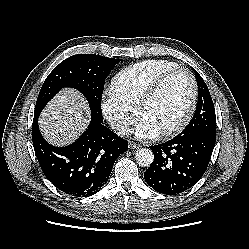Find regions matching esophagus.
Listing matches in <instances>:
<instances>
[{
    "label": "esophagus",
    "mask_w": 249,
    "mask_h": 249,
    "mask_svg": "<svg viewBox=\"0 0 249 249\" xmlns=\"http://www.w3.org/2000/svg\"><path fill=\"white\" fill-rule=\"evenodd\" d=\"M128 147L129 149L134 150V149H138L140 146L136 143L129 142Z\"/></svg>",
    "instance_id": "obj_1"
}]
</instances>
